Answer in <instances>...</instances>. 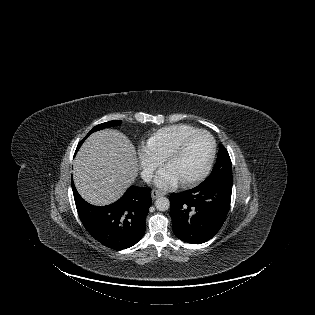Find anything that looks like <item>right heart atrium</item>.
Here are the masks:
<instances>
[{"instance_id": "right-heart-atrium-1", "label": "right heart atrium", "mask_w": 315, "mask_h": 315, "mask_svg": "<svg viewBox=\"0 0 315 315\" xmlns=\"http://www.w3.org/2000/svg\"><path fill=\"white\" fill-rule=\"evenodd\" d=\"M138 157L142 176L145 179H148L154 170L161 164V160H159L146 145L139 148Z\"/></svg>"}]
</instances>
